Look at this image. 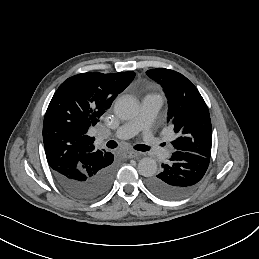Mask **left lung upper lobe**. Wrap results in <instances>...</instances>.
Wrapping results in <instances>:
<instances>
[{"label":"left lung upper lobe","instance_id":"5c2ea615","mask_svg":"<svg viewBox=\"0 0 259 259\" xmlns=\"http://www.w3.org/2000/svg\"><path fill=\"white\" fill-rule=\"evenodd\" d=\"M146 73L162 86L168 99L167 120L179 134V137L171 142L176 151L210 158V114L194 84L182 74L165 68L151 69Z\"/></svg>","mask_w":259,"mask_h":259}]
</instances>
